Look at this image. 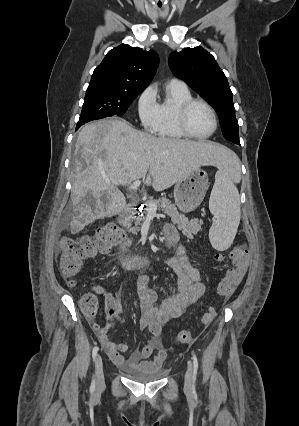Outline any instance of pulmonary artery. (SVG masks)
<instances>
[{"label": "pulmonary artery", "mask_w": 299, "mask_h": 426, "mask_svg": "<svg viewBox=\"0 0 299 426\" xmlns=\"http://www.w3.org/2000/svg\"><path fill=\"white\" fill-rule=\"evenodd\" d=\"M171 82L173 83H180V84H184L182 81L178 80V79H172Z\"/></svg>", "instance_id": "1"}]
</instances>
